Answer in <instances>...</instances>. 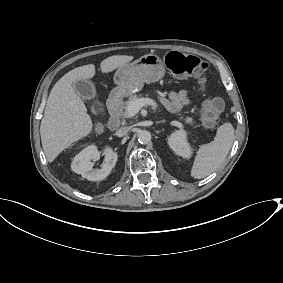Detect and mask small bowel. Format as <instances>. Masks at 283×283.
Wrapping results in <instances>:
<instances>
[{
	"label": "small bowel",
	"mask_w": 283,
	"mask_h": 283,
	"mask_svg": "<svg viewBox=\"0 0 283 283\" xmlns=\"http://www.w3.org/2000/svg\"><path fill=\"white\" fill-rule=\"evenodd\" d=\"M162 103L170 111H178L189 103V96L186 90L170 91L167 97L162 98Z\"/></svg>",
	"instance_id": "small-bowel-1"
}]
</instances>
